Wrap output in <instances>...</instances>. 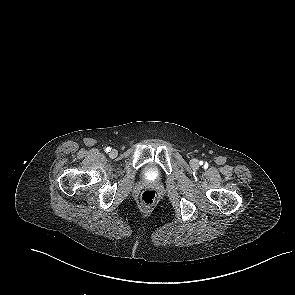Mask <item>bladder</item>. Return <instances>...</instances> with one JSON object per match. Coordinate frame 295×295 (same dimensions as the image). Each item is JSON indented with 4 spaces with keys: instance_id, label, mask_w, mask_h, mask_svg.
<instances>
[{
    "instance_id": "1",
    "label": "bladder",
    "mask_w": 295,
    "mask_h": 295,
    "mask_svg": "<svg viewBox=\"0 0 295 295\" xmlns=\"http://www.w3.org/2000/svg\"><path fill=\"white\" fill-rule=\"evenodd\" d=\"M148 170H152V166H148V168H147Z\"/></svg>"
}]
</instances>
